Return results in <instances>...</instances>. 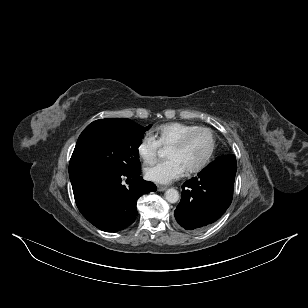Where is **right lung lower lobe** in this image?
Here are the masks:
<instances>
[{
  "label": "right lung lower lobe",
  "instance_id": "98d812e1",
  "mask_svg": "<svg viewBox=\"0 0 308 308\" xmlns=\"http://www.w3.org/2000/svg\"><path fill=\"white\" fill-rule=\"evenodd\" d=\"M130 181L129 187L123 180ZM75 202L82 215L95 227L116 232L131 225L137 215L136 202L156 186L140 177V169L126 174L85 172L70 177Z\"/></svg>",
  "mask_w": 308,
  "mask_h": 308
}]
</instances>
